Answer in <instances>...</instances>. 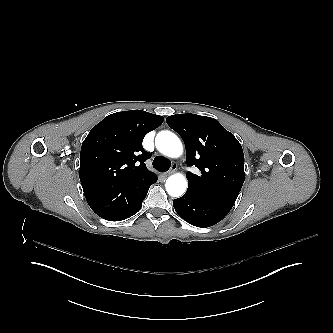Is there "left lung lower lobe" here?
Listing matches in <instances>:
<instances>
[{
  "label": "left lung lower lobe",
  "mask_w": 333,
  "mask_h": 333,
  "mask_svg": "<svg viewBox=\"0 0 333 333\" xmlns=\"http://www.w3.org/2000/svg\"><path fill=\"white\" fill-rule=\"evenodd\" d=\"M176 212L189 224L210 227L221 221L232 209L228 202L208 200L185 193L173 201Z\"/></svg>",
  "instance_id": "0a47b994"
}]
</instances>
